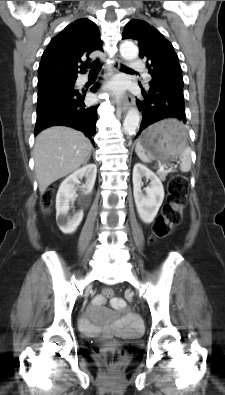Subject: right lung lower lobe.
Here are the masks:
<instances>
[{
    "label": "right lung lower lobe",
    "instance_id": "1",
    "mask_svg": "<svg viewBox=\"0 0 225 395\" xmlns=\"http://www.w3.org/2000/svg\"><path fill=\"white\" fill-rule=\"evenodd\" d=\"M85 95V92H79L74 87L60 88L38 99L34 134L37 135L50 126L65 125L84 132L92 140L98 119V106H86Z\"/></svg>",
    "mask_w": 225,
    "mask_h": 395
}]
</instances>
